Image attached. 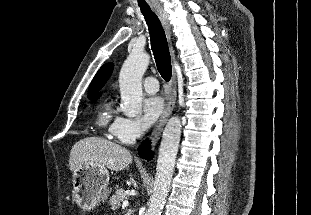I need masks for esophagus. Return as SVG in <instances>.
Listing matches in <instances>:
<instances>
[{"mask_svg": "<svg viewBox=\"0 0 311 215\" xmlns=\"http://www.w3.org/2000/svg\"><path fill=\"white\" fill-rule=\"evenodd\" d=\"M155 10L164 26V29L166 31L167 36L170 38L171 34V24L169 22V16L166 13V11L161 7V6H156ZM171 56L172 60L175 61L176 56H175V51L173 49V46L171 45ZM175 102H176V72L173 69V76L171 80V93L169 95L168 101L166 103L165 109L163 111V114L161 115L160 119L158 120L153 133L151 135V140H152V145L153 147L157 144L161 133L163 131V128L170 117L172 111L174 110L175 107Z\"/></svg>", "mask_w": 311, "mask_h": 215, "instance_id": "34e87169", "label": "esophagus"}]
</instances>
